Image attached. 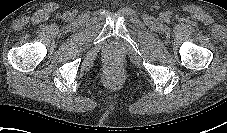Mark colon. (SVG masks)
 Masks as SVG:
<instances>
[{"mask_svg":"<svg viewBox=\"0 0 227 133\" xmlns=\"http://www.w3.org/2000/svg\"><path fill=\"white\" fill-rule=\"evenodd\" d=\"M110 69H111L112 71H117V70H118V67L115 66V65H112V66L110 67Z\"/></svg>","mask_w":227,"mask_h":133,"instance_id":"1","label":"colon"}]
</instances>
